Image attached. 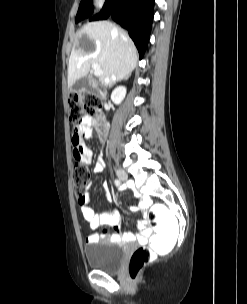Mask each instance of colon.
<instances>
[{
    "label": "colon",
    "mask_w": 247,
    "mask_h": 304,
    "mask_svg": "<svg viewBox=\"0 0 247 304\" xmlns=\"http://www.w3.org/2000/svg\"><path fill=\"white\" fill-rule=\"evenodd\" d=\"M101 108V99L93 93L74 92L69 98V120L74 125V130L81 120L88 115H93ZM89 171L86 165H79L73 162V186L75 194L80 201L83 200L89 184ZM150 217V227L152 236L149 246L137 248L131 255L129 262V275L132 279H137L142 269L152 260L153 253H172L173 244L178 238L179 221L176 214H171L167 206L161 202H156L150 206L148 212Z\"/></svg>",
    "instance_id": "5ec220e1"
}]
</instances>
